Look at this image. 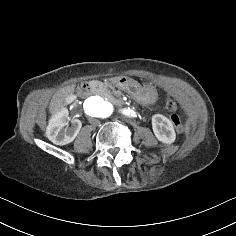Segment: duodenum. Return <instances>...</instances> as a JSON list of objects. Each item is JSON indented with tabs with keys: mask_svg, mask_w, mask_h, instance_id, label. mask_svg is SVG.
<instances>
[{
	"mask_svg": "<svg viewBox=\"0 0 236 236\" xmlns=\"http://www.w3.org/2000/svg\"><path fill=\"white\" fill-rule=\"evenodd\" d=\"M109 82L112 84H119L121 82V79L118 77H113L109 79ZM91 88H92V84L89 82H85L80 85L78 92L82 97H86L90 94Z\"/></svg>",
	"mask_w": 236,
	"mask_h": 236,
	"instance_id": "duodenum-1",
	"label": "duodenum"
}]
</instances>
